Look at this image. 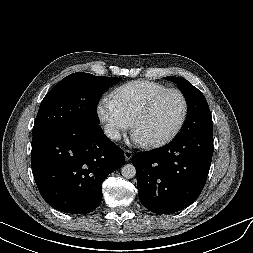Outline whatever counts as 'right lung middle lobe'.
<instances>
[{"label": "right lung middle lobe", "mask_w": 253, "mask_h": 253, "mask_svg": "<svg viewBox=\"0 0 253 253\" xmlns=\"http://www.w3.org/2000/svg\"><path fill=\"white\" fill-rule=\"evenodd\" d=\"M116 77L77 72L57 83L44 97L36 116L33 136L82 125L99 127L97 104Z\"/></svg>", "instance_id": "dd1d6c3e"}]
</instances>
